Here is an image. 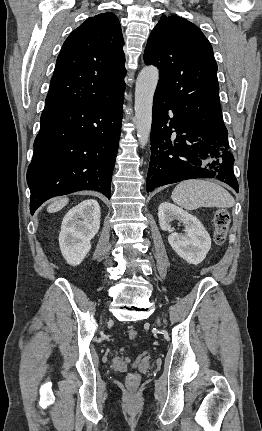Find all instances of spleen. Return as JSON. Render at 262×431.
Wrapping results in <instances>:
<instances>
[{"instance_id": "spleen-1", "label": "spleen", "mask_w": 262, "mask_h": 431, "mask_svg": "<svg viewBox=\"0 0 262 431\" xmlns=\"http://www.w3.org/2000/svg\"><path fill=\"white\" fill-rule=\"evenodd\" d=\"M174 203L186 210H195L201 206L230 208L235 201L222 186L207 180L191 179L179 183L173 190Z\"/></svg>"}]
</instances>
